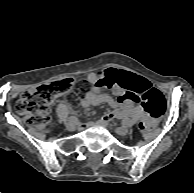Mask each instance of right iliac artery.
<instances>
[{"instance_id":"obj_1","label":"right iliac artery","mask_w":194,"mask_h":193,"mask_svg":"<svg viewBox=\"0 0 194 193\" xmlns=\"http://www.w3.org/2000/svg\"><path fill=\"white\" fill-rule=\"evenodd\" d=\"M69 121L71 122H78V118L76 116H70Z\"/></svg>"}]
</instances>
